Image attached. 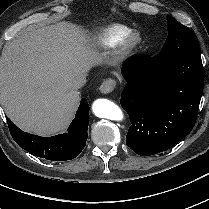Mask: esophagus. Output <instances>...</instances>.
Masks as SVG:
<instances>
[{
    "label": "esophagus",
    "mask_w": 209,
    "mask_h": 209,
    "mask_svg": "<svg viewBox=\"0 0 209 209\" xmlns=\"http://www.w3.org/2000/svg\"><path fill=\"white\" fill-rule=\"evenodd\" d=\"M116 87V80L113 78H108L103 81L99 90L103 94L111 93Z\"/></svg>",
    "instance_id": "34e87169"
}]
</instances>
